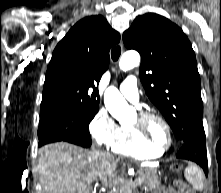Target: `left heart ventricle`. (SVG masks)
Masks as SVG:
<instances>
[{"label":"left heart ventricle","mask_w":221,"mask_h":193,"mask_svg":"<svg viewBox=\"0 0 221 193\" xmlns=\"http://www.w3.org/2000/svg\"><path fill=\"white\" fill-rule=\"evenodd\" d=\"M148 131L151 137L160 145L167 146L169 139L164 126L156 119H151L148 122Z\"/></svg>","instance_id":"left-heart-ventricle-1"}]
</instances>
